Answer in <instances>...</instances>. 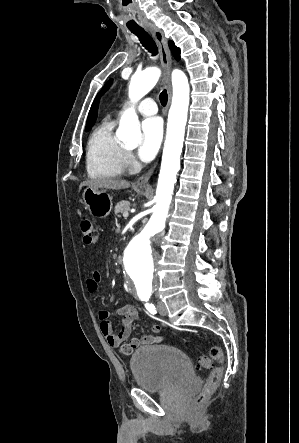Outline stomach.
<instances>
[{"label": "stomach", "instance_id": "0dacf381", "mask_svg": "<svg viewBox=\"0 0 299 443\" xmlns=\"http://www.w3.org/2000/svg\"><path fill=\"white\" fill-rule=\"evenodd\" d=\"M83 204L89 212L98 218H106L112 211V196L99 188L87 187L83 194Z\"/></svg>", "mask_w": 299, "mask_h": 443}]
</instances>
